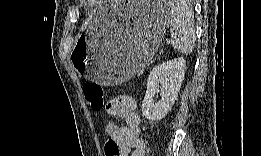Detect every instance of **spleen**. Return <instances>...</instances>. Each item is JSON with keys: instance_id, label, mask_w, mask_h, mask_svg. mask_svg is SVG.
<instances>
[{"instance_id": "obj_1", "label": "spleen", "mask_w": 261, "mask_h": 156, "mask_svg": "<svg viewBox=\"0 0 261 156\" xmlns=\"http://www.w3.org/2000/svg\"><path fill=\"white\" fill-rule=\"evenodd\" d=\"M171 43L174 49L188 55L195 46V21L192 9L186 1H170Z\"/></svg>"}]
</instances>
